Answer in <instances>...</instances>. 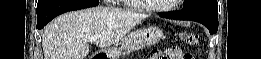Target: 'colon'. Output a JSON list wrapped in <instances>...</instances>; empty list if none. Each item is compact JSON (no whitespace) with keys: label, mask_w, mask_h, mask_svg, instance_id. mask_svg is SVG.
Returning <instances> with one entry per match:
<instances>
[{"label":"colon","mask_w":261,"mask_h":59,"mask_svg":"<svg viewBox=\"0 0 261 59\" xmlns=\"http://www.w3.org/2000/svg\"><path fill=\"white\" fill-rule=\"evenodd\" d=\"M182 39L190 44L197 45L199 43V38L196 34L191 32H183ZM151 59H192L193 57L189 54L182 53L177 47H170L163 51H155L151 54Z\"/></svg>","instance_id":"1"}]
</instances>
